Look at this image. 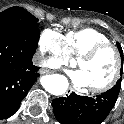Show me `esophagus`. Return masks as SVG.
I'll return each instance as SVG.
<instances>
[{"mask_svg": "<svg viewBox=\"0 0 124 124\" xmlns=\"http://www.w3.org/2000/svg\"><path fill=\"white\" fill-rule=\"evenodd\" d=\"M72 92H74V90H73V89H70V90L67 92V94L69 95V94L72 93Z\"/></svg>", "mask_w": 124, "mask_h": 124, "instance_id": "1", "label": "esophagus"}]
</instances>
